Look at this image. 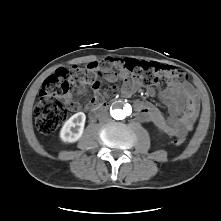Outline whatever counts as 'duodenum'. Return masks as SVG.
Instances as JSON below:
<instances>
[{"label":"duodenum","instance_id":"duodenum-1","mask_svg":"<svg viewBox=\"0 0 221 221\" xmlns=\"http://www.w3.org/2000/svg\"><path fill=\"white\" fill-rule=\"evenodd\" d=\"M109 106H110L109 101H101V102L97 103V105L92 108V111L90 113V117L95 118L99 114V112L108 108Z\"/></svg>","mask_w":221,"mask_h":221}]
</instances>
